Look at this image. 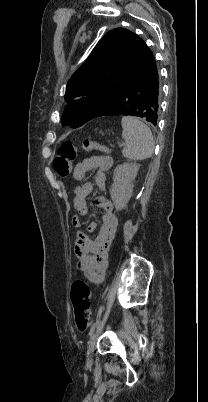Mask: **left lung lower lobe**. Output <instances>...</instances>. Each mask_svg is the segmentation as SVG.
<instances>
[{
  "label": "left lung lower lobe",
  "instance_id": "1",
  "mask_svg": "<svg viewBox=\"0 0 208 402\" xmlns=\"http://www.w3.org/2000/svg\"><path fill=\"white\" fill-rule=\"evenodd\" d=\"M133 35L139 38L136 34ZM140 61L136 71L129 81L122 87L116 99L99 115H131L144 118L157 125L160 103L159 73L155 58L139 38Z\"/></svg>",
  "mask_w": 208,
  "mask_h": 402
}]
</instances>
